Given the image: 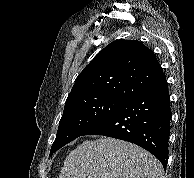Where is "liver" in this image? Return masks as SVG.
I'll list each match as a JSON object with an SVG mask.
<instances>
[{"mask_svg":"<svg viewBox=\"0 0 194 178\" xmlns=\"http://www.w3.org/2000/svg\"><path fill=\"white\" fill-rule=\"evenodd\" d=\"M59 178H163V168L141 147L101 137L84 141L71 151Z\"/></svg>","mask_w":194,"mask_h":178,"instance_id":"6515ba94","label":"liver"}]
</instances>
